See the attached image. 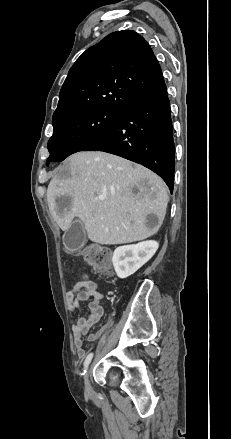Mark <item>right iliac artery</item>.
<instances>
[{
    "instance_id": "right-iliac-artery-1",
    "label": "right iliac artery",
    "mask_w": 231,
    "mask_h": 439,
    "mask_svg": "<svg viewBox=\"0 0 231 439\" xmlns=\"http://www.w3.org/2000/svg\"><path fill=\"white\" fill-rule=\"evenodd\" d=\"M92 358H93V353H90V354L87 355V357H86V359L84 361V373L83 374L86 373V370H87V368H88Z\"/></svg>"
}]
</instances>
